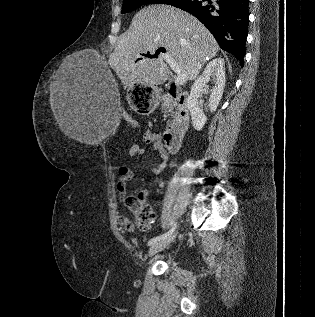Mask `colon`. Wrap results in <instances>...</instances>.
<instances>
[{
    "label": "colon",
    "mask_w": 315,
    "mask_h": 317,
    "mask_svg": "<svg viewBox=\"0 0 315 317\" xmlns=\"http://www.w3.org/2000/svg\"><path fill=\"white\" fill-rule=\"evenodd\" d=\"M125 120L133 127L137 128V121L130 115L125 116ZM125 205L127 209L135 216V223L139 228L149 227L155 219L152 208L139 195H131L126 198Z\"/></svg>",
    "instance_id": "5ec220e1"
}]
</instances>
